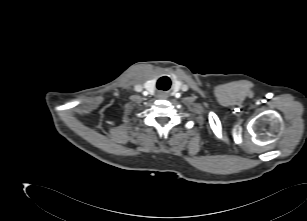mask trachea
<instances>
[{
  "instance_id": "3493384b",
  "label": "trachea",
  "mask_w": 307,
  "mask_h": 221,
  "mask_svg": "<svg viewBox=\"0 0 307 221\" xmlns=\"http://www.w3.org/2000/svg\"><path fill=\"white\" fill-rule=\"evenodd\" d=\"M158 88H159L160 90H163L161 84H158Z\"/></svg>"
}]
</instances>
